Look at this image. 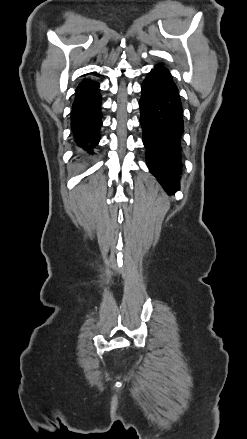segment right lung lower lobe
<instances>
[{
  "mask_svg": "<svg viewBox=\"0 0 247 439\" xmlns=\"http://www.w3.org/2000/svg\"><path fill=\"white\" fill-rule=\"evenodd\" d=\"M99 83L77 89L72 110V129L79 146L89 151L96 146L100 139L102 126L99 93Z\"/></svg>",
  "mask_w": 247,
  "mask_h": 439,
  "instance_id": "right-lung-lower-lobe-1",
  "label": "right lung lower lobe"
}]
</instances>
